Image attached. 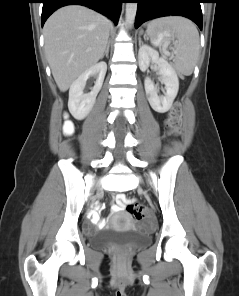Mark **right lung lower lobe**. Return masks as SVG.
I'll return each instance as SVG.
<instances>
[{
    "mask_svg": "<svg viewBox=\"0 0 239 296\" xmlns=\"http://www.w3.org/2000/svg\"><path fill=\"white\" fill-rule=\"evenodd\" d=\"M42 8V26L47 18L58 8L69 4H80L87 6L114 21L118 22L121 12V4L124 0H41Z\"/></svg>",
    "mask_w": 239,
    "mask_h": 296,
    "instance_id": "1",
    "label": "right lung lower lobe"
}]
</instances>
